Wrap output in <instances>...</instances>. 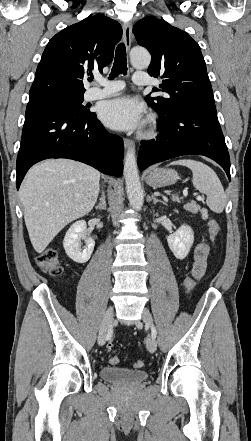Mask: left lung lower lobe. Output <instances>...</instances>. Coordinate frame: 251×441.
<instances>
[{"instance_id": "0a47b994", "label": "left lung lower lobe", "mask_w": 251, "mask_h": 441, "mask_svg": "<svg viewBox=\"0 0 251 441\" xmlns=\"http://www.w3.org/2000/svg\"><path fill=\"white\" fill-rule=\"evenodd\" d=\"M156 139L144 141L138 154L140 171L182 155H204L216 161L230 180V159L216 106L184 107L162 117Z\"/></svg>"}]
</instances>
